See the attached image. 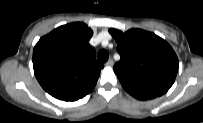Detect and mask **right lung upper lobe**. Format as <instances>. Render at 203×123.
Listing matches in <instances>:
<instances>
[{"label":"right lung upper lobe","instance_id":"obj_1","mask_svg":"<svg viewBox=\"0 0 203 123\" xmlns=\"http://www.w3.org/2000/svg\"><path fill=\"white\" fill-rule=\"evenodd\" d=\"M93 31L84 23L60 26L43 36L33 50L34 74L42 88L58 99L92 91L104 67L89 44Z\"/></svg>","mask_w":203,"mask_h":123}]
</instances>
